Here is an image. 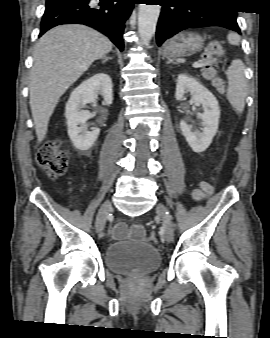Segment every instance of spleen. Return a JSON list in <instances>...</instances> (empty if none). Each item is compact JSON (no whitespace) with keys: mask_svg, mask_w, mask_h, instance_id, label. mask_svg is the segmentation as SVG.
<instances>
[{"mask_svg":"<svg viewBox=\"0 0 270 338\" xmlns=\"http://www.w3.org/2000/svg\"><path fill=\"white\" fill-rule=\"evenodd\" d=\"M228 78L227 99L237 111H243L245 107L246 79L244 76V64L240 59H234L226 72Z\"/></svg>","mask_w":270,"mask_h":338,"instance_id":"1","label":"spleen"}]
</instances>
